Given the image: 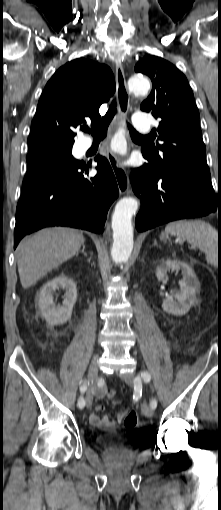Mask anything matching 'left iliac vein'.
<instances>
[{"mask_svg":"<svg viewBox=\"0 0 221 510\" xmlns=\"http://www.w3.org/2000/svg\"><path fill=\"white\" fill-rule=\"evenodd\" d=\"M120 377L123 381H125L127 384L132 385L135 379V375L132 372H126L120 374ZM141 411L144 416L146 417H152L153 416V410L147 403H142Z\"/></svg>","mask_w":221,"mask_h":510,"instance_id":"left-iliac-vein-1","label":"left iliac vein"}]
</instances>
